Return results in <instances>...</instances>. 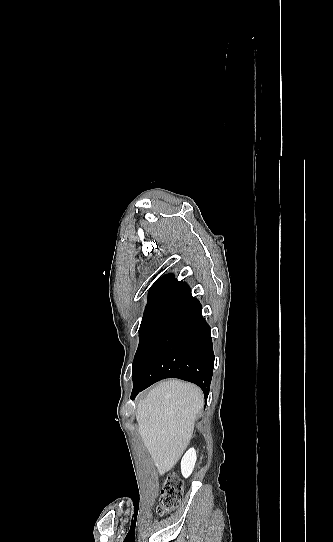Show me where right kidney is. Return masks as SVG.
Segmentation results:
<instances>
[{
  "label": "right kidney",
  "instance_id": "ca27d5eb",
  "mask_svg": "<svg viewBox=\"0 0 333 542\" xmlns=\"http://www.w3.org/2000/svg\"><path fill=\"white\" fill-rule=\"evenodd\" d=\"M196 460V452L194 448H190V450L184 454L181 460V474L183 478H189V476H191L196 464Z\"/></svg>",
  "mask_w": 333,
  "mask_h": 542
}]
</instances>
